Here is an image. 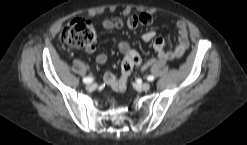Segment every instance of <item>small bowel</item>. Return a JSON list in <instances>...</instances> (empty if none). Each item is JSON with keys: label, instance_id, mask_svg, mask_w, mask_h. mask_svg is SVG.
Here are the masks:
<instances>
[{"label": "small bowel", "instance_id": "small-bowel-1", "mask_svg": "<svg viewBox=\"0 0 247 145\" xmlns=\"http://www.w3.org/2000/svg\"><path fill=\"white\" fill-rule=\"evenodd\" d=\"M102 26L106 30H112L115 27V23L111 19H104L102 21ZM176 29L178 34V41L176 47L172 50L165 49L166 41L162 37L157 36L155 31L151 30L143 34V41L152 42L153 48L157 54L155 59H150L145 62H142L140 56L131 48L129 43L125 41L120 42L118 44V48L124 56L123 63L131 56H136L137 59L134 63H132L130 69L128 70V76H125L122 72L121 77L117 78L114 73L107 72L104 75L105 83L114 91L122 92L127 88L129 76L135 66H138L142 69H147L156 62H163L181 58L189 47L188 29L184 21H178L176 23ZM84 51L86 53H93L95 51V45L93 44L89 46L88 48L84 49ZM107 59L108 57L105 53H100L96 57V63L98 65H104L107 62Z\"/></svg>", "mask_w": 247, "mask_h": 145}]
</instances>
